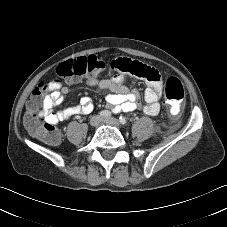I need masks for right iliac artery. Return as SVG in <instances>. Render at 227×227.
I'll list each match as a JSON object with an SVG mask.
<instances>
[{
    "label": "right iliac artery",
    "mask_w": 227,
    "mask_h": 227,
    "mask_svg": "<svg viewBox=\"0 0 227 227\" xmlns=\"http://www.w3.org/2000/svg\"><path fill=\"white\" fill-rule=\"evenodd\" d=\"M99 115L104 117V118H108L111 116V112L107 111V110H103L101 112H99Z\"/></svg>",
    "instance_id": "82829eb1"
}]
</instances>
